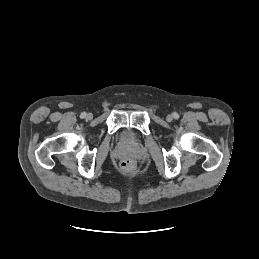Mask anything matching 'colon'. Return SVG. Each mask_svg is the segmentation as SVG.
<instances>
[{
  "label": "colon",
  "mask_w": 259,
  "mask_h": 259,
  "mask_svg": "<svg viewBox=\"0 0 259 259\" xmlns=\"http://www.w3.org/2000/svg\"><path fill=\"white\" fill-rule=\"evenodd\" d=\"M120 167L124 172H129L133 168V162L129 159H125V160L121 161Z\"/></svg>",
  "instance_id": "colon-1"
}]
</instances>
